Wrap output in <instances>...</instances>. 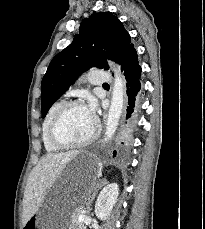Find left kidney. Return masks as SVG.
Wrapping results in <instances>:
<instances>
[{"mask_svg":"<svg viewBox=\"0 0 205 229\" xmlns=\"http://www.w3.org/2000/svg\"><path fill=\"white\" fill-rule=\"evenodd\" d=\"M119 195V186L116 183L108 184L100 192L95 203V214L101 220H106Z\"/></svg>","mask_w":205,"mask_h":229,"instance_id":"5707ae66","label":"left kidney"}]
</instances>
